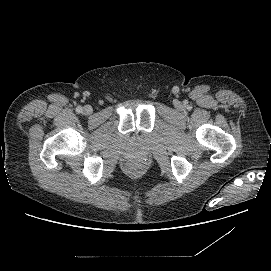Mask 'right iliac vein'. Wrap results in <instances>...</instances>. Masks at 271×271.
<instances>
[{"label": "right iliac vein", "mask_w": 271, "mask_h": 271, "mask_svg": "<svg viewBox=\"0 0 271 271\" xmlns=\"http://www.w3.org/2000/svg\"><path fill=\"white\" fill-rule=\"evenodd\" d=\"M93 111L92 107L90 105H86L84 106L83 108V113L86 114V115H89L91 114Z\"/></svg>", "instance_id": "obj_1"}]
</instances>
